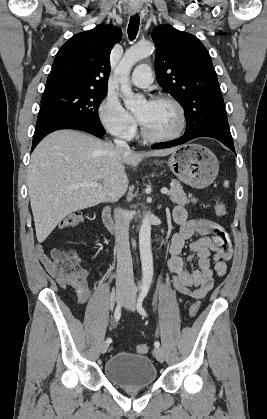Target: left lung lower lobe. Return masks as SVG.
I'll return each instance as SVG.
<instances>
[{
    "mask_svg": "<svg viewBox=\"0 0 267 419\" xmlns=\"http://www.w3.org/2000/svg\"><path fill=\"white\" fill-rule=\"evenodd\" d=\"M212 137L235 152L233 139L230 133L227 116L221 115V112H211L202 115L199 119L189 124L183 136L178 139L165 142L162 144H154L152 148L163 149L184 144L194 138Z\"/></svg>",
    "mask_w": 267,
    "mask_h": 419,
    "instance_id": "obj_1",
    "label": "left lung lower lobe"
}]
</instances>
